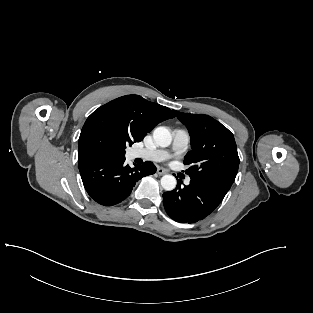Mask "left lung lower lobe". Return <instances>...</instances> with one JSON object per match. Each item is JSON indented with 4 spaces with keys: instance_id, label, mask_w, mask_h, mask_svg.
I'll list each match as a JSON object with an SVG mask.
<instances>
[{
    "instance_id": "1",
    "label": "left lung lower lobe",
    "mask_w": 313,
    "mask_h": 313,
    "mask_svg": "<svg viewBox=\"0 0 313 313\" xmlns=\"http://www.w3.org/2000/svg\"><path fill=\"white\" fill-rule=\"evenodd\" d=\"M163 193L167 214L180 223H195L212 213L221 203L228 188L210 181L191 179L188 186Z\"/></svg>"
}]
</instances>
